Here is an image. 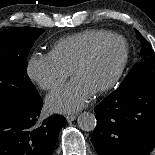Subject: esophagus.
Instances as JSON below:
<instances>
[{"mask_svg":"<svg viewBox=\"0 0 155 155\" xmlns=\"http://www.w3.org/2000/svg\"><path fill=\"white\" fill-rule=\"evenodd\" d=\"M66 119H67L68 123H71L72 121H74L76 119V115H68V116H66Z\"/></svg>","mask_w":155,"mask_h":155,"instance_id":"1","label":"esophagus"}]
</instances>
